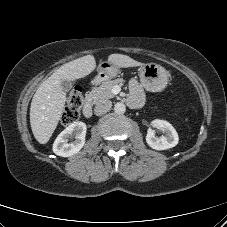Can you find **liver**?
<instances>
[{"instance_id":"6515ba94","label":"liver","mask_w":227,"mask_h":227,"mask_svg":"<svg viewBox=\"0 0 227 227\" xmlns=\"http://www.w3.org/2000/svg\"><path fill=\"white\" fill-rule=\"evenodd\" d=\"M108 62L118 68L142 66L131 57L123 54H111ZM96 68L93 55H86L70 61L57 69L37 89L30 107V125L35 139L46 144L56 129L66 102L62 80H77L89 75Z\"/></svg>"}]
</instances>
